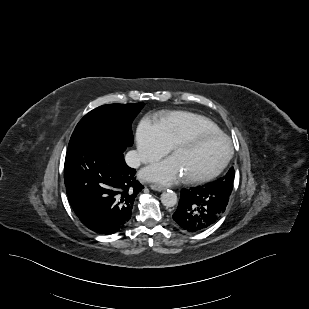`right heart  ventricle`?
<instances>
[{"label": "right heart ventricle", "mask_w": 309, "mask_h": 309, "mask_svg": "<svg viewBox=\"0 0 309 309\" xmlns=\"http://www.w3.org/2000/svg\"><path fill=\"white\" fill-rule=\"evenodd\" d=\"M156 123L171 145L194 131L221 132L220 128L209 118L189 111H174L161 115Z\"/></svg>", "instance_id": "e07e8e85"}]
</instances>
